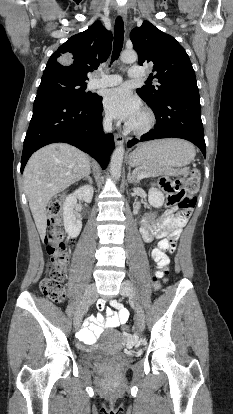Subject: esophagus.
<instances>
[{
  "label": "esophagus",
  "mask_w": 233,
  "mask_h": 414,
  "mask_svg": "<svg viewBox=\"0 0 233 414\" xmlns=\"http://www.w3.org/2000/svg\"><path fill=\"white\" fill-rule=\"evenodd\" d=\"M118 14H119V16H120L123 20H126V18H127V10H126V8H124V7H120V8L118 9ZM114 140H115V144H116V145H121V144H123V142H124V139H123V137H122L120 134H115V135H114Z\"/></svg>",
  "instance_id": "34e87169"
}]
</instances>
